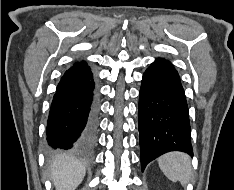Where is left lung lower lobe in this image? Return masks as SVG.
<instances>
[{
	"label": "left lung lower lobe",
	"mask_w": 234,
	"mask_h": 190,
	"mask_svg": "<svg viewBox=\"0 0 234 190\" xmlns=\"http://www.w3.org/2000/svg\"><path fill=\"white\" fill-rule=\"evenodd\" d=\"M138 126L142 170L169 151L193 156L188 105L180 77L165 59H156L142 78Z\"/></svg>",
	"instance_id": "obj_1"
}]
</instances>
